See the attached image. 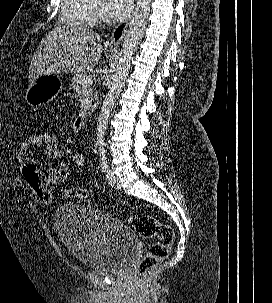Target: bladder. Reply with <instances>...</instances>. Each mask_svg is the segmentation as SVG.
<instances>
[{
    "label": "bladder",
    "instance_id": "obj_1",
    "mask_svg": "<svg viewBox=\"0 0 272 303\" xmlns=\"http://www.w3.org/2000/svg\"><path fill=\"white\" fill-rule=\"evenodd\" d=\"M54 222L63 244L86 268L120 272L137 252L134 230L108 212L67 203L57 209Z\"/></svg>",
    "mask_w": 272,
    "mask_h": 303
}]
</instances>
